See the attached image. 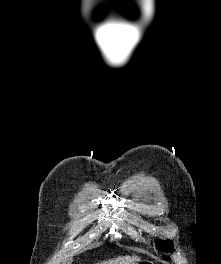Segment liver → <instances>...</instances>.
Masks as SVG:
<instances>
[{
	"label": "liver",
	"instance_id": "6515ba94",
	"mask_svg": "<svg viewBox=\"0 0 221 264\" xmlns=\"http://www.w3.org/2000/svg\"><path fill=\"white\" fill-rule=\"evenodd\" d=\"M138 261H140V257L138 256H125V257H117L97 264H135V262Z\"/></svg>",
	"mask_w": 221,
	"mask_h": 264
}]
</instances>
